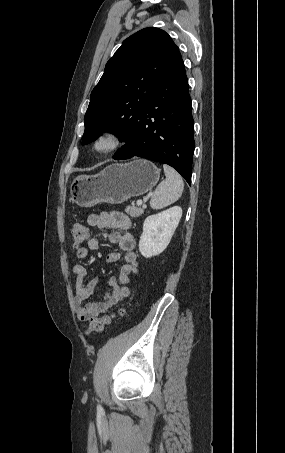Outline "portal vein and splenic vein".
Returning a JSON list of instances; mask_svg holds the SVG:
<instances>
[{"label":"portal vein and splenic vein","mask_w":285,"mask_h":453,"mask_svg":"<svg viewBox=\"0 0 285 453\" xmlns=\"http://www.w3.org/2000/svg\"><path fill=\"white\" fill-rule=\"evenodd\" d=\"M142 203H143L142 200H138L136 204H137L138 206H141Z\"/></svg>","instance_id":"18ae733b"}]
</instances>
